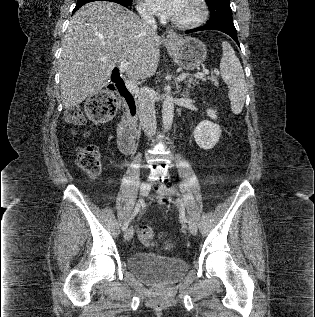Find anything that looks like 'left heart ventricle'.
<instances>
[{"label":"left heart ventricle","instance_id":"left-heart-ventricle-1","mask_svg":"<svg viewBox=\"0 0 315 317\" xmlns=\"http://www.w3.org/2000/svg\"><path fill=\"white\" fill-rule=\"evenodd\" d=\"M199 14V7L195 0H182L176 15L172 18L178 22L195 19Z\"/></svg>","mask_w":315,"mask_h":317}]
</instances>
